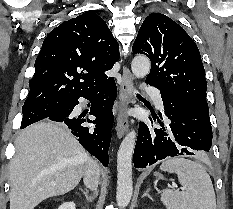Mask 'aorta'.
Masks as SVG:
<instances>
[{
    "label": "aorta",
    "instance_id": "aorta-1",
    "mask_svg": "<svg viewBox=\"0 0 233 209\" xmlns=\"http://www.w3.org/2000/svg\"><path fill=\"white\" fill-rule=\"evenodd\" d=\"M150 60L144 55H137L131 63L132 73L137 78H144L149 74ZM137 134L131 130L121 142L117 154V195L116 200L120 209L125 208L133 193L132 156Z\"/></svg>",
    "mask_w": 233,
    "mask_h": 209
}]
</instances>
